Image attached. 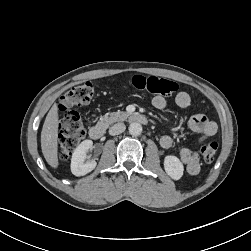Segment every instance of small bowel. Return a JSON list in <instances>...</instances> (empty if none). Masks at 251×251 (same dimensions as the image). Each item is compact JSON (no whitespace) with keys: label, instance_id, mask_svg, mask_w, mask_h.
<instances>
[{"label":"small bowel","instance_id":"c3829d8e","mask_svg":"<svg viewBox=\"0 0 251 251\" xmlns=\"http://www.w3.org/2000/svg\"><path fill=\"white\" fill-rule=\"evenodd\" d=\"M175 102L180 108H186L191 102L190 95L185 91H181L177 94ZM152 105L158 110H163L167 105V101L162 96H155L152 99ZM189 127L192 131L200 135V142L212 137L217 132L216 124L203 114L192 116L189 120ZM160 145L165 149L171 148L173 139L169 135H164L160 138ZM179 157L190 175L198 174L200 171V163L196 153L187 147H183L179 151Z\"/></svg>","mask_w":251,"mask_h":251}]
</instances>
